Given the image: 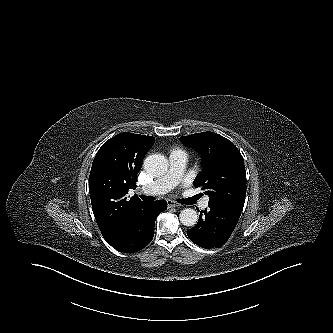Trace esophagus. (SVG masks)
<instances>
[{"label":"esophagus","mask_w":333,"mask_h":333,"mask_svg":"<svg viewBox=\"0 0 333 333\" xmlns=\"http://www.w3.org/2000/svg\"><path fill=\"white\" fill-rule=\"evenodd\" d=\"M167 205H168L169 208L178 207L179 206L178 203H176V202H174L172 200H167Z\"/></svg>","instance_id":"34e87169"}]
</instances>
